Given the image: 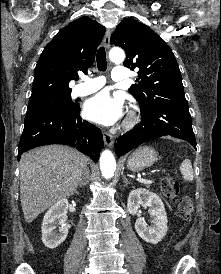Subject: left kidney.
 <instances>
[{
  "mask_svg": "<svg viewBox=\"0 0 221 274\" xmlns=\"http://www.w3.org/2000/svg\"><path fill=\"white\" fill-rule=\"evenodd\" d=\"M149 207L152 217V225L147 226L144 218H138L135 222V230L146 242L157 244L167 233V214L160 197L144 188L134 189L129 193L127 208L132 215L138 213L140 206Z\"/></svg>",
  "mask_w": 221,
  "mask_h": 274,
  "instance_id": "left-kidney-1",
  "label": "left kidney"
}]
</instances>
